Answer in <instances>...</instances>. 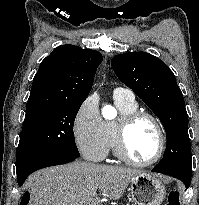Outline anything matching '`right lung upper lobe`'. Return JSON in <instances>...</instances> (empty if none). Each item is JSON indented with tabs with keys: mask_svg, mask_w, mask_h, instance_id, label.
Segmentation results:
<instances>
[{
	"mask_svg": "<svg viewBox=\"0 0 199 205\" xmlns=\"http://www.w3.org/2000/svg\"><path fill=\"white\" fill-rule=\"evenodd\" d=\"M96 50L67 44L53 50L36 73L26 111L63 102H81L91 91L102 61Z\"/></svg>",
	"mask_w": 199,
	"mask_h": 205,
	"instance_id": "1",
	"label": "right lung upper lobe"
}]
</instances>
